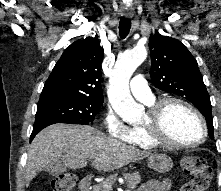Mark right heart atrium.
Masks as SVG:
<instances>
[{
  "mask_svg": "<svg viewBox=\"0 0 221 191\" xmlns=\"http://www.w3.org/2000/svg\"><path fill=\"white\" fill-rule=\"evenodd\" d=\"M103 120L109 135L123 141H127L129 139L131 128L119 118L112 107H107Z\"/></svg>",
  "mask_w": 221,
  "mask_h": 191,
  "instance_id": "obj_1",
  "label": "right heart atrium"
}]
</instances>
